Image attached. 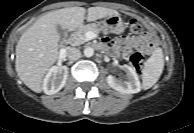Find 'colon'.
<instances>
[{"instance_id": "5ec220e1", "label": "colon", "mask_w": 194, "mask_h": 133, "mask_svg": "<svg viewBox=\"0 0 194 133\" xmlns=\"http://www.w3.org/2000/svg\"><path fill=\"white\" fill-rule=\"evenodd\" d=\"M130 30L134 33H140L142 31V25L136 19H131ZM125 58L137 73L142 72L144 56L140 53V50L129 53Z\"/></svg>"}]
</instances>
